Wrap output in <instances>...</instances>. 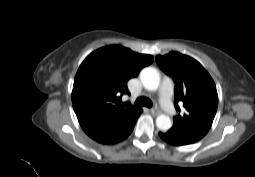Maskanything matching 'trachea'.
<instances>
[{"label":"trachea","mask_w":255,"mask_h":177,"mask_svg":"<svg viewBox=\"0 0 255 177\" xmlns=\"http://www.w3.org/2000/svg\"><path fill=\"white\" fill-rule=\"evenodd\" d=\"M135 105L137 106H146V107H152V102L151 100H149L148 98L145 97H139L137 98V100L135 101Z\"/></svg>","instance_id":"trachea-1"}]
</instances>
